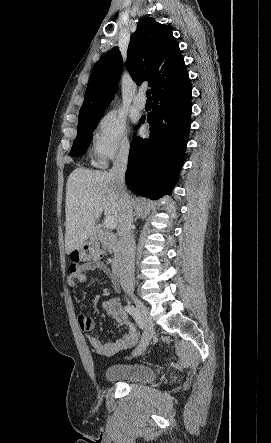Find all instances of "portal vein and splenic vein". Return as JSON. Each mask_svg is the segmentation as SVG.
I'll return each instance as SVG.
<instances>
[{
    "mask_svg": "<svg viewBox=\"0 0 271 443\" xmlns=\"http://www.w3.org/2000/svg\"><path fill=\"white\" fill-rule=\"evenodd\" d=\"M104 225L105 227H110L111 229V227H116L117 222L113 216H107V218L104 220Z\"/></svg>",
    "mask_w": 271,
    "mask_h": 443,
    "instance_id": "portal-vein-and-splenic-vein-1",
    "label": "portal vein and splenic vein"
}]
</instances>
